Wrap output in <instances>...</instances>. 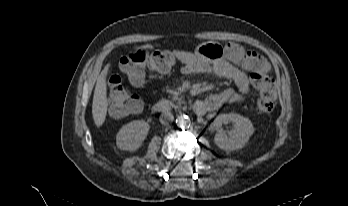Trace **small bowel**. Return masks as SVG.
Returning <instances> with one entry per match:
<instances>
[{
    "mask_svg": "<svg viewBox=\"0 0 348 206\" xmlns=\"http://www.w3.org/2000/svg\"><path fill=\"white\" fill-rule=\"evenodd\" d=\"M175 54L182 62V73L202 74L212 70L217 76L229 79L236 85V88L225 89L210 96V111L240 102L248 95L250 81L246 73L236 65L252 72H265L269 69L265 58L237 42H229L223 47L202 44L195 51L176 50Z\"/></svg>",
    "mask_w": 348,
    "mask_h": 206,
    "instance_id": "c3829d8e",
    "label": "small bowel"
}]
</instances>
